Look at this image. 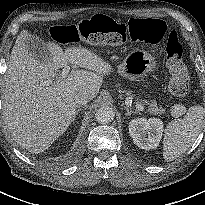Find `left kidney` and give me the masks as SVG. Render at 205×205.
I'll list each match as a JSON object with an SVG mask.
<instances>
[{"mask_svg":"<svg viewBox=\"0 0 205 205\" xmlns=\"http://www.w3.org/2000/svg\"><path fill=\"white\" fill-rule=\"evenodd\" d=\"M163 132V122L157 118H137L129 123V134L134 144L144 150L155 149Z\"/></svg>","mask_w":205,"mask_h":205,"instance_id":"left-kidney-1","label":"left kidney"}]
</instances>
